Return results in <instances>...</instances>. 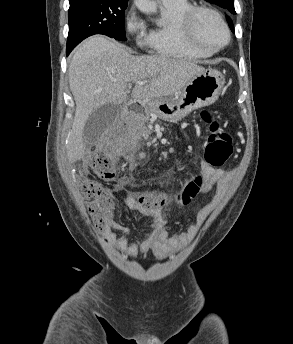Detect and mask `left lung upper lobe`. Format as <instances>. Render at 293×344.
Masks as SVG:
<instances>
[{"instance_id":"obj_1","label":"left lung upper lobe","mask_w":293,"mask_h":344,"mask_svg":"<svg viewBox=\"0 0 293 344\" xmlns=\"http://www.w3.org/2000/svg\"><path fill=\"white\" fill-rule=\"evenodd\" d=\"M212 4H216L219 7L223 8L225 12L228 14L227 20L231 30L233 31V24L229 16L236 14L234 8V1L233 0H206Z\"/></svg>"}]
</instances>
